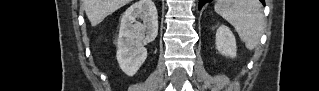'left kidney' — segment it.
Masks as SVG:
<instances>
[{"label": "left kidney", "instance_id": "left-kidney-1", "mask_svg": "<svg viewBox=\"0 0 319 91\" xmlns=\"http://www.w3.org/2000/svg\"><path fill=\"white\" fill-rule=\"evenodd\" d=\"M215 44L220 54L231 58L236 57V40L229 27L225 25L219 26L216 32Z\"/></svg>", "mask_w": 319, "mask_h": 91}]
</instances>
